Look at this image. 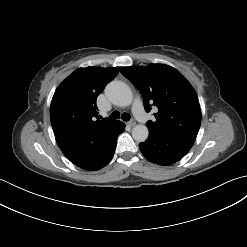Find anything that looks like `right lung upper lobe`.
Masks as SVG:
<instances>
[{
    "mask_svg": "<svg viewBox=\"0 0 247 247\" xmlns=\"http://www.w3.org/2000/svg\"><path fill=\"white\" fill-rule=\"evenodd\" d=\"M118 72V67L79 68L56 89L50 106L51 125L58 146L71 162L85 154L97 133L116 123L96 120V99Z\"/></svg>",
    "mask_w": 247,
    "mask_h": 247,
    "instance_id": "obj_1",
    "label": "right lung upper lobe"
}]
</instances>
